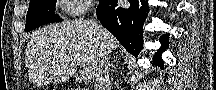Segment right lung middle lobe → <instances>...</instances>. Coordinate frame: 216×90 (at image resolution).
I'll use <instances>...</instances> for the list:
<instances>
[{"mask_svg": "<svg viewBox=\"0 0 216 90\" xmlns=\"http://www.w3.org/2000/svg\"><path fill=\"white\" fill-rule=\"evenodd\" d=\"M55 4H56V0H47V1L31 0L29 4L27 16H26L25 32L31 31L47 23L62 21V19H60L59 16L54 13Z\"/></svg>", "mask_w": 216, "mask_h": 90, "instance_id": "obj_1", "label": "right lung middle lobe"}]
</instances>
